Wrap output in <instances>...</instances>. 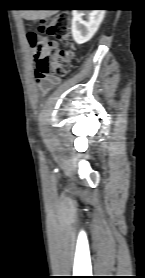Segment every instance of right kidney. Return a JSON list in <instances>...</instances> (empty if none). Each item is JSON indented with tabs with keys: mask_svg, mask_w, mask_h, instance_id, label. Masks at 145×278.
Masks as SVG:
<instances>
[{
	"mask_svg": "<svg viewBox=\"0 0 145 278\" xmlns=\"http://www.w3.org/2000/svg\"><path fill=\"white\" fill-rule=\"evenodd\" d=\"M72 15V37L77 44H83L98 30L105 10H73Z\"/></svg>",
	"mask_w": 145,
	"mask_h": 278,
	"instance_id": "obj_1",
	"label": "right kidney"
}]
</instances>
